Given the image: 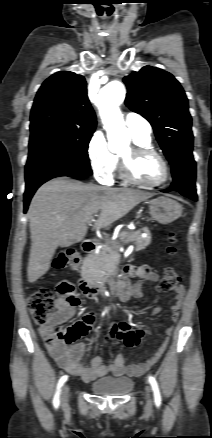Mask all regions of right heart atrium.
<instances>
[{
  "label": "right heart atrium",
  "mask_w": 212,
  "mask_h": 438,
  "mask_svg": "<svg viewBox=\"0 0 212 438\" xmlns=\"http://www.w3.org/2000/svg\"><path fill=\"white\" fill-rule=\"evenodd\" d=\"M87 158L93 175L97 180L108 183L117 166L116 156L109 150L101 131H96L87 145Z\"/></svg>",
  "instance_id": "obj_1"
}]
</instances>
